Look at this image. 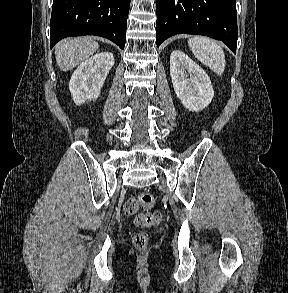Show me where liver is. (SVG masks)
Returning <instances> with one entry per match:
<instances>
[{
    "instance_id": "liver-1",
    "label": "liver",
    "mask_w": 288,
    "mask_h": 293,
    "mask_svg": "<svg viewBox=\"0 0 288 293\" xmlns=\"http://www.w3.org/2000/svg\"><path fill=\"white\" fill-rule=\"evenodd\" d=\"M99 48L90 37L63 39L55 46V56L58 67L68 71L87 60Z\"/></svg>"
}]
</instances>
